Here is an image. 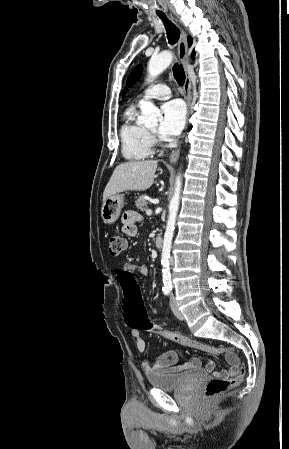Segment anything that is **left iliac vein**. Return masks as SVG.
<instances>
[{
	"label": "left iliac vein",
	"instance_id": "1",
	"mask_svg": "<svg viewBox=\"0 0 289 449\" xmlns=\"http://www.w3.org/2000/svg\"><path fill=\"white\" fill-rule=\"evenodd\" d=\"M170 307H171V310H172V312L174 313V315H175L178 319L183 320V314H182L181 311L179 310L178 305H177V302H176V300H175V298H174L173 295H171V297H170Z\"/></svg>",
	"mask_w": 289,
	"mask_h": 449
}]
</instances>
